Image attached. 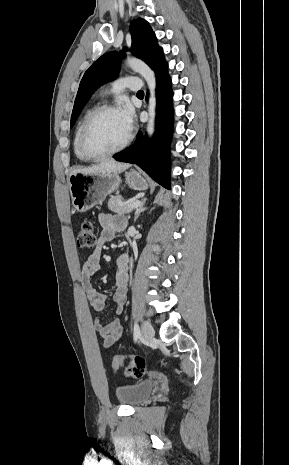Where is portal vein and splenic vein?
I'll return each instance as SVG.
<instances>
[{"label": "portal vein and splenic vein", "instance_id": "18ae733b", "mask_svg": "<svg viewBox=\"0 0 289 465\" xmlns=\"http://www.w3.org/2000/svg\"><path fill=\"white\" fill-rule=\"evenodd\" d=\"M128 204H129L130 207L135 208V207H138L141 204V201L140 200L130 201V202H128Z\"/></svg>", "mask_w": 289, "mask_h": 465}]
</instances>
